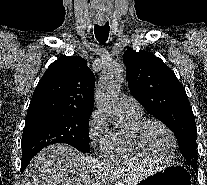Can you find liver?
Returning a JSON list of instances; mask_svg holds the SVG:
<instances>
[{
  "label": "liver",
  "instance_id": "6515ba94",
  "mask_svg": "<svg viewBox=\"0 0 207 185\" xmlns=\"http://www.w3.org/2000/svg\"><path fill=\"white\" fill-rule=\"evenodd\" d=\"M96 163L70 145H49L25 169L24 185H96Z\"/></svg>",
  "mask_w": 207,
  "mask_h": 185
}]
</instances>
